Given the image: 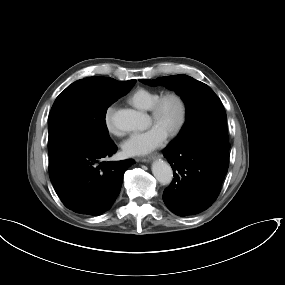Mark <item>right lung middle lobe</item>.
Returning a JSON list of instances; mask_svg holds the SVG:
<instances>
[{
  "label": "right lung middle lobe",
  "instance_id": "right-lung-middle-lobe-1",
  "mask_svg": "<svg viewBox=\"0 0 285 285\" xmlns=\"http://www.w3.org/2000/svg\"><path fill=\"white\" fill-rule=\"evenodd\" d=\"M134 84L135 80L89 77L61 92L48 118L49 158L74 145L111 141L105 121L107 109Z\"/></svg>",
  "mask_w": 285,
  "mask_h": 285
}]
</instances>
